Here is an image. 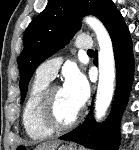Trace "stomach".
Here are the masks:
<instances>
[{"label": "stomach", "mask_w": 139, "mask_h": 150, "mask_svg": "<svg viewBox=\"0 0 139 150\" xmlns=\"http://www.w3.org/2000/svg\"><path fill=\"white\" fill-rule=\"evenodd\" d=\"M58 150H77L76 148H73L72 146H61Z\"/></svg>", "instance_id": "1"}]
</instances>
